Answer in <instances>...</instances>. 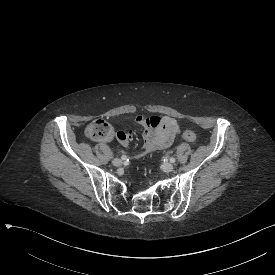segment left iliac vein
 Here are the masks:
<instances>
[{
	"label": "left iliac vein",
	"mask_w": 275,
	"mask_h": 275,
	"mask_svg": "<svg viewBox=\"0 0 275 275\" xmlns=\"http://www.w3.org/2000/svg\"><path fill=\"white\" fill-rule=\"evenodd\" d=\"M174 169V165L172 163H166L163 165L164 172H171Z\"/></svg>",
	"instance_id": "1"
}]
</instances>
